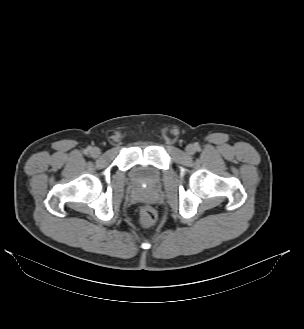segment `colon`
<instances>
[{"mask_svg":"<svg viewBox=\"0 0 304 329\" xmlns=\"http://www.w3.org/2000/svg\"><path fill=\"white\" fill-rule=\"evenodd\" d=\"M156 221V212L149 206H144L139 212V224L142 227H149Z\"/></svg>","mask_w":304,"mask_h":329,"instance_id":"colon-1","label":"colon"}]
</instances>
